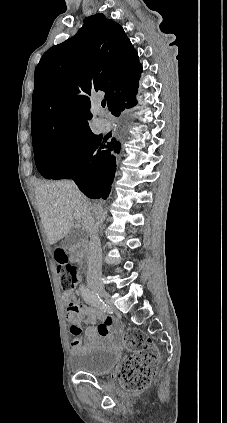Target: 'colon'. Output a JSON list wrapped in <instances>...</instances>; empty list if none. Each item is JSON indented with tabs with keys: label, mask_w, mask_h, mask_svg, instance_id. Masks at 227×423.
<instances>
[{
	"label": "colon",
	"mask_w": 227,
	"mask_h": 423,
	"mask_svg": "<svg viewBox=\"0 0 227 423\" xmlns=\"http://www.w3.org/2000/svg\"><path fill=\"white\" fill-rule=\"evenodd\" d=\"M57 271L65 291H71L76 284L75 269L69 264L63 251H56ZM125 347L132 352L121 366L118 378L132 390L147 388L154 375L159 353L151 339L142 331L130 329L125 336Z\"/></svg>",
	"instance_id": "obj_1"
}]
</instances>
